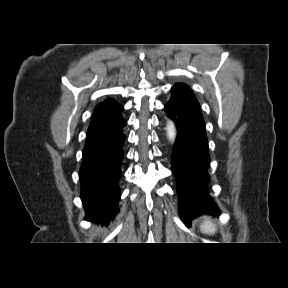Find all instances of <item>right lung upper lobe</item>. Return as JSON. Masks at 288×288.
Masks as SVG:
<instances>
[{
	"label": "right lung upper lobe",
	"instance_id": "1",
	"mask_svg": "<svg viewBox=\"0 0 288 288\" xmlns=\"http://www.w3.org/2000/svg\"><path fill=\"white\" fill-rule=\"evenodd\" d=\"M123 106L107 99L96 106L87 132L85 146L95 145L118 132L125 120L121 116Z\"/></svg>",
	"mask_w": 288,
	"mask_h": 288
}]
</instances>
